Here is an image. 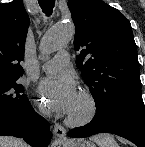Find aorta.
I'll use <instances>...</instances> for the list:
<instances>
[{
	"label": "aorta",
	"mask_w": 145,
	"mask_h": 147,
	"mask_svg": "<svg viewBox=\"0 0 145 147\" xmlns=\"http://www.w3.org/2000/svg\"><path fill=\"white\" fill-rule=\"evenodd\" d=\"M74 26L70 22H61L50 28L40 44V49L43 54H48L65 46L72 38Z\"/></svg>",
	"instance_id": "aorta-1"
}]
</instances>
